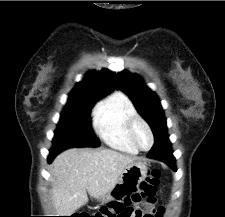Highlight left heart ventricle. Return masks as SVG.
I'll return each mask as SVG.
<instances>
[{
  "mask_svg": "<svg viewBox=\"0 0 225 217\" xmlns=\"http://www.w3.org/2000/svg\"><path fill=\"white\" fill-rule=\"evenodd\" d=\"M136 138L143 148L149 147L151 138L148 131L142 125H139L136 129Z\"/></svg>",
  "mask_w": 225,
  "mask_h": 217,
  "instance_id": "b2bd125f",
  "label": "left heart ventricle"
}]
</instances>
